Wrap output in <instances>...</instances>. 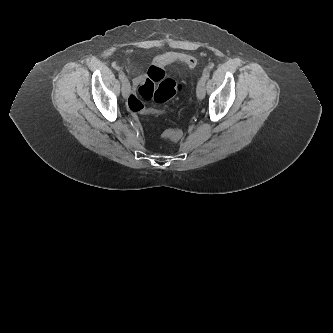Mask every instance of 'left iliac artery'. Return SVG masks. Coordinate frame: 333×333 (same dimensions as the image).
<instances>
[{"mask_svg": "<svg viewBox=\"0 0 333 333\" xmlns=\"http://www.w3.org/2000/svg\"><path fill=\"white\" fill-rule=\"evenodd\" d=\"M208 78H209V72L205 70L203 72L201 80L204 81V82H206L208 80Z\"/></svg>", "mask_w": 333, "mask_h": 333, "instance_id": "44dca946", "label": "left iliac artery"}]
</instances>
